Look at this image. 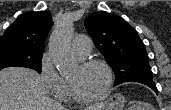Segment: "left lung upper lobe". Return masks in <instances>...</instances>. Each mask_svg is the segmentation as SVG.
I'll use <instances>...</instances> for the list:
<instances>
[{"label": "left lung upper lobe", "instance_id": "obj_1", "mask_svg": "<svg viewBox=\"0 0 171 110\" xmlns=\"http://www.w3.org/2000/svg\"><path fill=\"white\" fill-rule=\"evenodd\" d=\"M85 27L115 73L114 86L123 82H153L144 43L124 19L96 12L85 20Z\"/></svg>", "mask_w": 171, "mask_h": 110}]
</instances>
